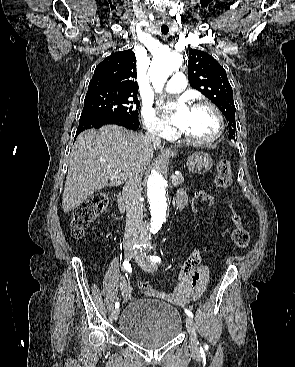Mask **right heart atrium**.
Here are the masks:
<instances>
[{"mask_svg":"<svg viewBox=\"0 0 295 367\" xmlns=\"http://www.w3.org/2000/svg\"><path fill=\"white\" fill-rule=\"evenodd\" d=\"M142 124L147 132L158 137H168L172 134L170 127L164 123L151 107H143L141 111Z\"/></svg>","mask_w":295,"mask_h":367,"instance_id":"1","label":"right heart atrium"}]
</instances>
